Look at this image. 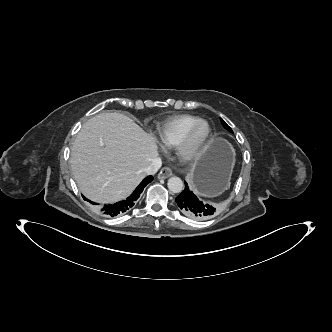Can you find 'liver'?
<instances>
[{"label": "liver", "mask_w": 332, "mask_h": 332, "mask_svg": "<svg viewBox=\"0 0 332 332\" xmlns=\"http://www.w3.org/2000/svg\"><path fill=\"white\" fill-rule=\"evenodd\" d=\"M156 139L120 113H102L81 128L70 164L80 191L97 203L125 199L158 156Z\"/></svg>", "instance_id": "liver-1"}]
</instances>
